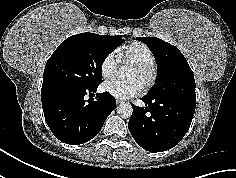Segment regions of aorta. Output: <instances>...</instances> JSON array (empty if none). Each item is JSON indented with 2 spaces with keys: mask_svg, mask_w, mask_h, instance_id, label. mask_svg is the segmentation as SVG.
I'll list each match as a JSON object with an SVG mask.
<instances>
[{
  "mask_svg": "<svg viewBox=\"0 0 236 178\" xmlns=\"http://www.w3.org/2000/svg\"><path fill=\"white\" fill-rule=\"evenodd\" d=\"M117 113L120 115L122 118H129L132 113H133V108L130 104L128 103H121L117 107Z\"/></svg>",
  "mask_w": 236,
  "mask_h": 178,
  "instance_id": "obj_1",
  "label": "aorta"
}]
</instances>
